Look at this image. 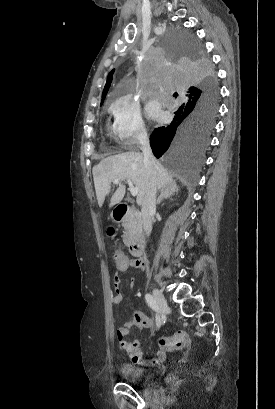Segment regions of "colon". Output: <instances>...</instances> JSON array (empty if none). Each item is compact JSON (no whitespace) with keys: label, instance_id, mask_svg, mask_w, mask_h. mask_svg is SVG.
I'll use <instances>...</instances> for the list:
<instances>
[{"label":"colon","instance_id":"1","mask_svg":"<svg viewBox=\"0 0 275 409\" xmlns=\"http://www.w3.org/2000/svg\"><path fill=\"white\" fill-rule=\"evenodd\" d=\"M127 259L124 256H117L115 258V263L120 273H123L124 270L128 268ZM160 348L167 350L175 349H186L193 350L191 339L186 331L180 330L177 331L173 336L165 337L162 339Z\"/></svg>","mask_w":275,"mask_h":409}]
</instances>
